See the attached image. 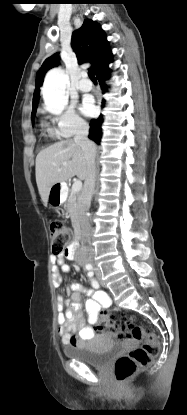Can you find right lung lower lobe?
Masks as SVG:
<instances>
[{"mask_svg": "<svg viewBox=\"0 0 187 415\" xmlns=\"http://www.w3.org/2000/svg\"><path fill=\"white\" fill-rule=\"evenodd\" d=\"M112 61L111 59L96 73V77L98 78L99 84L101 86V89L103 92L107 91V85L105 84V81L109 79L111 70L108 67V64ZM105 104V100H102V105ZM103 119L102 115L99 116L98 119L92 120L90 124V131H89V138L94 140L97 144L100 143L102 132H101V125H102Z\"/></svg>", "mask_w": 187, "mask_h": 415, "instance_id": "98d812e1", "label": "right lung lower lobe"}]
</instances>
